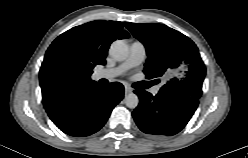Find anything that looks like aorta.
Listing matches in <instances>:
<instances>
[{
    "mask_svg": "<svg viewBox=\"0 0 248 158\" xmlns=\"http://www.w3.org/2000/svg\"><path fill=\"white\" fill-rule=\"evenodd\" d=\"M109 53L115 60L124 61L129 55V49L123 40H116L111 44ZM124 102L128 108L134 109L139 104V98L136 94L130 93L125 96Z\"/></svg>",
    "mask_w": 248,
    "mask_h": 158,
    "instance_id": "762f6f07",
    "label": "aorta"
}]
</instances>
